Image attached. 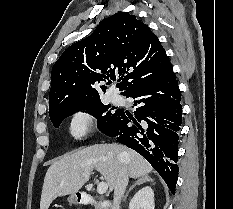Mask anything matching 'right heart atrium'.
<instances>
[{
  "mask_svg": "<svg viewBox=\"0 0 233 209\" xmlns=\"http://www.w3.org/2000/svg\"><path fill=\"white\" fill-rule=\"evenodd\" d=\"M93 123V116L87 109H78L71 116L70 134L75 139L84 138L92 130Z\"/></svg>",
  "mask_w": 233,
  "mask_h": 209,
  "instance_id": "d8ad5b80",
  "label": "right heart atrium"
}]
</instances>
